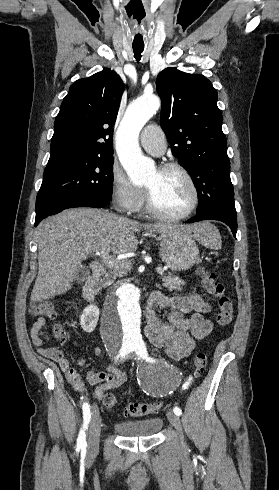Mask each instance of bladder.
<instances>
[{
    "label": "bladder",
    "instance_id": "obj_1",
    "mask_svg": "<svg viewBox=\"0 0 279 490\" xmlns=\"http://www.w3.org/2000/svg\"><path fill=\"white\" fill-rule=\"evenodd\" d=\"M162 427L163 419L159 416L116 421L113 424V430L121 437H151L157 435Z\"/></svg>",
    "mask_w": 279,
    "mask_h": 490
}]
</instances>
